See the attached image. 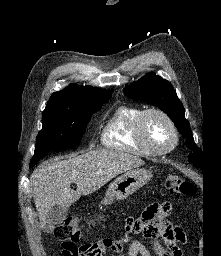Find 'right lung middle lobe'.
I'll return each instance as SVG.
<instances>
[{
  "label": "right lung middle lobe",
  "instance_id": "1",
  "mask_svg": "<svg viewBox=\"0 0 221 256\" xmlns=\"http://www.w3.org/2000/svg\"><path fill=\"white\" fill-rule=\"evenodd\" d=\"M111 95L96 97L79 104L74 111L43 112L42 130L36 138L33 167L49 151L79 145L91 115L106 103Z\"/></svg>",
  "mask_w": 221,
  "mask_h": 256
}]
</instances>
